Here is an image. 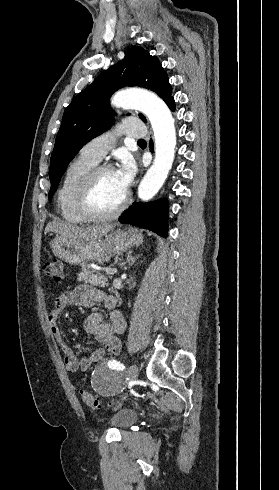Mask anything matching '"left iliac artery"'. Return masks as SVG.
<instances>
[{
    "label": "left iliac artery",
    "instance_id": "44dca946",
    "mask_svg": "<svg viewBox=\"0 0 279 490\" xmlns=\"http://www.w3.org/2000/svg\"><path fill=\"white\" fill-rule=\"evenodd\" d=\"M109 367L112 369L123 370L125 368L123 363H120L116 360L109 361Z\"/></svg>",
    "mask_w": 279,
    "mask_h": 490
}]
</instances>
